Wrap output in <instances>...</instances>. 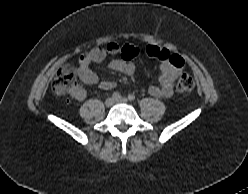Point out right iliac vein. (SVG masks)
Listing matches in <instances>:
<instances>
[{"label": "right iliac vein", "instance_id": "right-iliac-vein-1", "mask_svg": "<svg viewBox=\"0 0 248 194\" xmlns=\"http://www.w3.org/2000/svg\"><path fill=\"white\" fill-rule=\"evenodd\" d=\"M113 104H114V99H113V98L109 97V98H107V99L105 100V105H106L107 107H111Z\"/></svg>", "mask_w": 248, "mask_h": 194}]
</instances>
